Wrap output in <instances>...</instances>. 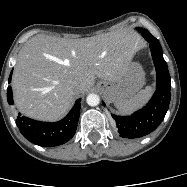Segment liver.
<instances>
[{"instance_id":"6515ba94","label":"liver","mask_w":187,"mask_h":187,"mask_svg":"<svg viewBox=\"0 0 187 187\" xmlns=\"http://www.w3.org/2000/svg\"><path fill=\"white\" fill-rule=\"evenodd\" d=\"M140 39L118 30L82 39L39 34L18 54L12 77L14 101L21 113L37 120L54 121L71 108L98 77L117 81L127 71ZM77 85V92L69 87Z\"/></svg>"}]
</instances>
